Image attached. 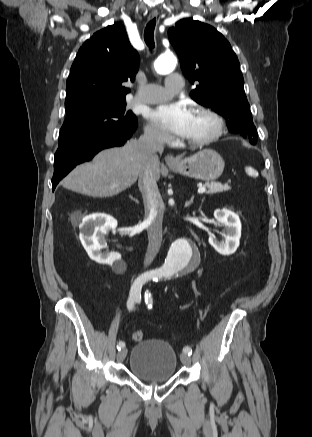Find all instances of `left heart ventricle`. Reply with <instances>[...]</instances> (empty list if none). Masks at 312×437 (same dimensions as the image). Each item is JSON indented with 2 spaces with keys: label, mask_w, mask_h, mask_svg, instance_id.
Listing matches in <instances>:
<instances>
[{
  "label": "left heart ventricle",
  "mask_w": 312,
  "mask_h": 437,
  "mask_svg": "<svg viewBox=\"0 0 312 437\" xmlns=\"http://www.w3.org/2000/svg\"><path fill=\"white\" fill-rule=\"evenodd\" d=\"M212 129H213V122L211 119L201 114L193 112L189 131L182 138L184 140L197 139L207 135Z\"/></svg>",
  "instance_id": "left-heart-ventricle-1"
}]
</instances>
